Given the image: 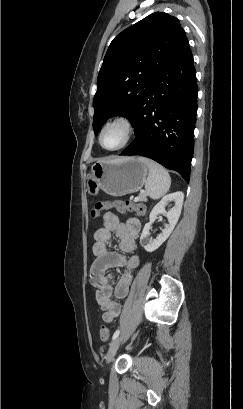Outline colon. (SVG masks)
Listing matches in <instances>:
<instances>
[{
  "mask_svg": "<svg viewBox=\"0 0 243 409\" xmlns=\"http://www.w3.org/2000/svg\"><path fill=\"white\" fill-rule=\"evenodd\" d=\"M116 208L120 213L132 212L137 216L146 214V206L142 203H135L131 200L113 201V202H98L91 210V216L97 218L102 210ZM99 337L102 342H107L109 339V330L106 326H102L99 330Z\"/></svg>",
  "mask_w": 243,
  "mask_h": 409,
  "instance_id": "colon-1",
  "label": "colon"
}]
</instances>
